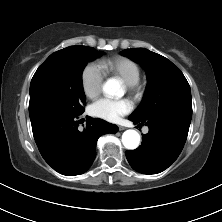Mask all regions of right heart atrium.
Instances as JSON below:
<instances>
[{"label":"right heart atrium","mask_w":222,"mask_h":222,"mask_svg":"<svg viewBox=\"0 0 222 222\" xmlns=\"http://www.w3.org/2000/svg\"><path fill=\"white\" fill-rule=\"evenodd\" d=\"M104 72L96 62L88 63L81 73V85L84 94L89 98L96 97L102 89Z\"/></svg>","instance_id":"1"}]
</instances>
